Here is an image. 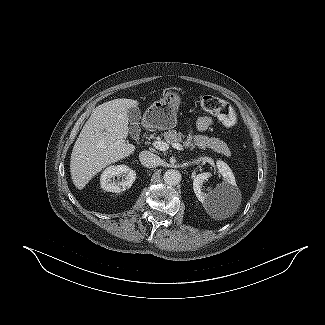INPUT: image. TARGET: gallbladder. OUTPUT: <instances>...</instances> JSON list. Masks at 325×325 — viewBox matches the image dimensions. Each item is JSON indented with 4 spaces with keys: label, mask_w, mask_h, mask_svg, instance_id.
Here are the masks:
<instances>
[{
    "label": "gallbladder",
    "mask_w": 325,
    "mask_h": 325,
    "mask_svg": "<svg viewBox=\"0 0 325 325\" xmlns=\"http://www.w3.org/2000/svg\"><path fill=\"white\" fill-rule=\"evenodd\" d=\"M128 118L131 124L130 126V134L132 137H137L140 134V120H141V113L139 108L132 107L128 110Z\"/></svg>",
    "instance_id": "bac80fb5"
}]
</instances>
